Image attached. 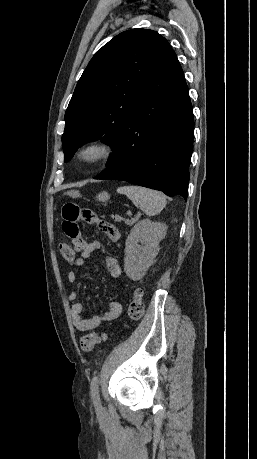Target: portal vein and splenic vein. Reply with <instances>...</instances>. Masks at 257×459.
I'll return each mask as SVG.
<instances>
[{"instance_id":"18ae733b","label":"portal vein and splenic vein","mask_w":257,"mask_h":459,"mask_svg":"<svg viewBox=\"0 0 257 459\" xmlns=\"http://www.w3.org/2000/svg\"><path fill=\"white\" fill-rule=\"evenodd\" d=\"M125 223H126V224H131L132 222H131L130 220L126 219V220H125Z\"/></svg>"}]
</instances>
